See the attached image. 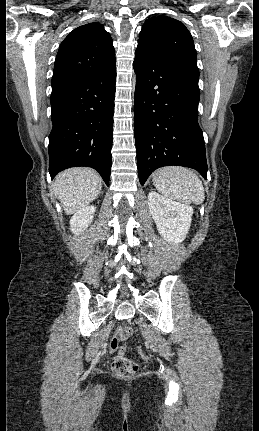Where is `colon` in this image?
Returning a JSON list of instances; mask_svg holds the SVG:
<instances>
[{"mask_svg": "<svg viewBox=\"0 0 259 431\" xmlns=\"http://www.w3.org/2000/svg\"><path fill=\"white\" fill-rule=\"evenodd\" d=\"M133 334L134 330L131 325L125 324L120 326L110 341V349L115 351L118 349L120 341L130 338ZM126 352V347L120 348L119 356L114 360L112 369L117 376L130 378L137 373L138 365L133 360L124 356ZM137 352L141 358H147V353L142 348H138Z\"/></svg>", "mask_w": 259, "mask_h": 431, "instance_id": "1", "label": "colon"}]
</instances>
